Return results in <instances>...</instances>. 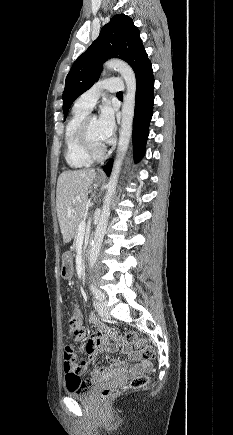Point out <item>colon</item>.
<instances>
[{"label":"colon","instance_id":"colon-1","mask_svg":"<svg viewBox=\"0 0 233 435\" xmlns=\"http://www.w3.org/2000/svg\"><path fill=\"white\" fill-rule=\"evenodd\" d=\"M70 317L68 320L69 330L71 335H75L80 330L81 320L76 313V308L70 306ZM109 335L112 340L116 343H130L134 344L137 351L141 356L148 361H153L156 357V351L153 346L148 344L145 339L141 338L135 332H126L123 334L111 329L109 330ZM65 364L71 363L73 367H79V363L75 358L74 346L71 343H67L63 349ZM149 382V375L147 373H139L134 375L128 384L125 386L127 389H139ZM90 387V382L82 381L80 377L76 374H71L68 376L67 389L70 392L78 393L88 390ZM121 388L107 387L102 390L99 395V400L102 403H109L116 398Z\"/></svg>","mask_w":233,"mask_h":435}]
</instances>
